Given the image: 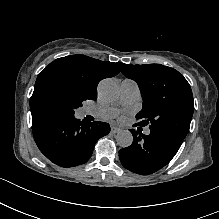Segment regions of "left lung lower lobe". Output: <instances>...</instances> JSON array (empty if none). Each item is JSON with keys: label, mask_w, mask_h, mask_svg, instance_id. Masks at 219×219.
I'll return each mask as SVG.
<instances>
[{"label": "left lung lower lobe", "mask_w": 219, "mask_h": 219, "mask_svg": "<svg viewBox=\"0 0 219 219\" xmlns=\"http://www.w3.org/2000/svg\"><path fill=\"white\" fill-rule=\"evenodd\" d=\"M130 131L133 134V143L119 151V158L126 169L141 175L152 174L167 165L183 142L163 132L152 130L148 135H144L140 127L137 131Z\"/></svg>", "instance_id": "left-lung-lower-lobe-1"}]
</instances>
